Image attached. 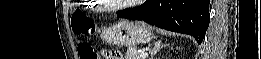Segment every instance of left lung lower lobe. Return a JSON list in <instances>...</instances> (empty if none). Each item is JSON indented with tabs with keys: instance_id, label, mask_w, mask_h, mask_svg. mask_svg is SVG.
I'll use <instances>...</instances> for the list:
<instances>
[{
	"instance_id": "left-lung-lower-lobe-1",
	"label": "left lung lower lobe",
	"mask_w": 261,
	"mask_h": 59,
	"mask_svg": "<svg viewBox=\"0 0 261 59\" xmlns=\"http://www.w3.org/2000/svg\"><path fill=\"white\" fill-rule=\"evenodd\" d=\"M210 0H146L118 12V17L143 20L162 29L193 36L201 44L209 26Z\"/></svg>"
}]
</instances>
